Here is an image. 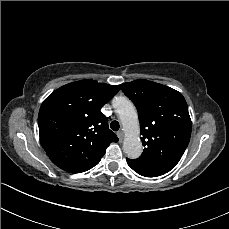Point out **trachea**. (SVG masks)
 Segmentation results:
<instances>
[{
	"mask_svg": "<svg viewBox=\"0 0 229 229\" xmlns=\"http://www.w3.org/2000/svg\"><path fill=\"white\" fill-rule=\"evenodd\" d=\"M110 128H111L113 131H118L119 128H120L119 122L116 121V120L111 121V123H110Z\"/></svg>",
	"mask_w": 229,
	"mask_h": 229,
	"instance_id": "3493384b",
	"label": "trachea"
}]
</instances>
